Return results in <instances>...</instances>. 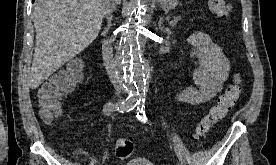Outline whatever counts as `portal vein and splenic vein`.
<instances>
[{
    "label": "portal vein and splenic vein",
    "mask_w": 276,
    "mask_h": 165,
    "mask_svg": "<svg viewBox=\"0 0 276 165\" xmlns=\"http://www.w3.org/2000/svg\"><path fill=\"white\" fill-rule=\"evenodd\" d=\"M177 22H178V20H177V19H174V20L170 21L169 24H170V25H175Z\"/></svg>",
    "instance_id": "portal-vein-and-splenic-vein-1"
}]
</instances>
